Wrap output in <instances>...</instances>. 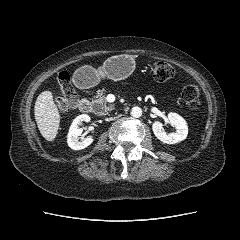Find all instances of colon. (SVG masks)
<instances>
[{"label":"colon","instance_id":"colon-1","mask_svg":"<svg viewBox=\"0 0 240 240\" xmlns=\"http://www.w3.org/2000/svg\"><path fill=\"white\" fill-rule=\"evenodd\" d=\"M174 74V67L165 61H157L152 66V76L158 82H165L173 78ZM58 84L60 94L57 98V106L60 110L66 111L77 103V95L68 72L61 71L58 74ZM181 97L191 109H198L201 105V92L199 87L194 84L185 85Z\"/></svg>","mask_w":240,"mask_h":240}]
</instances>
